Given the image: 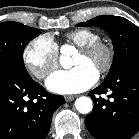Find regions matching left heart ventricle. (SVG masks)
Instances as JSON below:
<instances>
[{"instance_id":"left-heart-ventricle-1","label":"left heart ventricle","mask_w":139,"mask_h":139,"mask_svg":"<svg viewBox=\"0 0 139 139\" xmlns=\"http://www.w3.org/2000/svg\"><path fill=\"white\" fill-rule=\"evenodd\" d=\"M102 60L101 54L90 56L78 51L73 59V66L86 65L98 72Z\"/></svg>"}]
</instances>
